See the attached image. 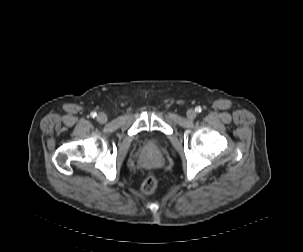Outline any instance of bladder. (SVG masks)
I'll use <instances>...</instances> for the list:
<instances>
[{
    "mask_svg": "<svg viewBox=\"0 0 303 252\" xmlns=\"http://www.w3.org/2000/svg\"><path fill=\"white\" fill-rule=\"evenodd\" d=\"M141 144L150 148L161 149L165 146V140L157 136L148 134L142 138Z\"/></svg>",
    "mask_w": 303,
    "mask_h": 252,
    "instance_id": "obj_1",
    "label": "bladder"
}]
</instances>
